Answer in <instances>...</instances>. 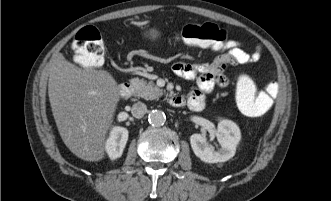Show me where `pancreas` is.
I'll list each match as a JSON object with an SVG mask.
<instances>
[{"instance_id":"1","label":"pancreas","mask_w":331,"mask_h":201,"mask_svg":"<svg viewBox=\"0 0 331 201\" xmlns=\"http://www.w3.org/2000/svg\"><path fill=\"white\" fill-rule=\"evenodd\" d=\"M131 85L134 88V96L146 100H154L163 95V90L155 85L152 81L146 82L143 79H131Z\"/></svg>"}]
</instances>
